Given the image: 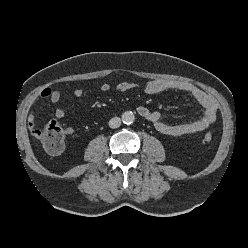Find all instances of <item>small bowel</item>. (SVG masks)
<instances>
[{"label":"small bowel","mask_w":248,"mask_h":248,"mask_svg":"<svg viewBox=\"0 0 248 248\" xmlns=\"http://www.w3.org/2000/svg\"><path fill=\"white\" fill-rule=\"evenodd\" d=\"M136 88H138V85L130 81H120L116 85V89L120 92H126ZM100 90L103 93H108L111 90V86L108 83H103L100 86ZM166 90H178L190 94L195 101L201 105L202 115L195 121L180 124H169L163 121L160 112L152 111L143 105L138 106L137 113L150 122L158 132L169 136H181L184 134L202 132L208 129L216 120L218 109L216 101L205 91L190 82L183 80L155 79L148 81L144 86V92L147 95H154ZM73 95L76 98H81L83 96V90L81 88H76L73 91ZM61 97L62 95L60 91L45 88L39 94L38 99H49L52 104H57L61 100ZM54 114L56 118L60 119L64 117L65 112L61 107H56ZM28 128L30 132L37 137L36 131L38 128L36 126V116L33 110L30 111L28 115ZM66 133L72 134L73 129L70 127L67 128Z\"/></svg>","instance_id":"1"}]
</instances>
